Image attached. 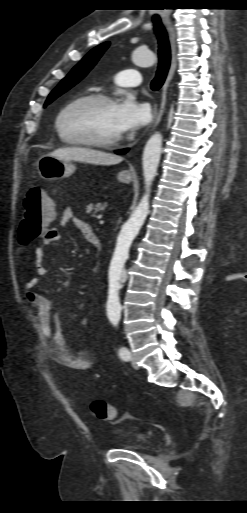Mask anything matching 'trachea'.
I'll list each match as a JSON object with an SVG mask.
<instances>
[{"label": "trachea", "instance_id": "trachea-1", "mask_svg": "<svg viewBox=\"0 0 247 513\" xmlns=\"http://www.w3.org/2000/svg\"><path fill=\"white\" fill-rule=\"evenodd\" d=\"M155 31L157 33L158 38V69L155 78L153 79L151 83V89L153 91H157L162 87L164 84V81L166 79L170 62H171V51H170V44L167 36V32L159 18H154L153 20Z\"/></svg>", "mask_w": 247, "mask_h": 513}]
</instances>
